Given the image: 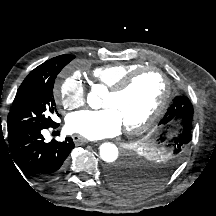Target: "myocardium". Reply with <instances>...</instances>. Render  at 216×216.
<instances>
[{
	"label": "myocardium",
	"instance_id": "f54148a6",
	"mask_svg": "<svg viewBox=\"0 0 216 216\" xmlns=\"http://www.w3.org/2000/svg\"><path fill=\"white\" fill-rule=\"evenodd\" d=\"M146 72H155L161 77L164 85V92L162 94V97L157 107L144 120H142L140 123L133 126H124V131L127 134H138L149 129L163 115L169 103V99L171 96V87H170L169 79L161 69L153 66L141 67L127 74L115 86L109 88L108 93L115 96L121 95L122 93H124L129 89L132 83L140 75Z\"/></svg>",
	"mask_w": 216,
	"mask_h": 216
}]
</instances>
